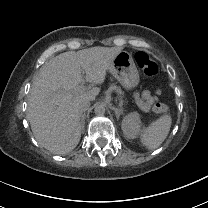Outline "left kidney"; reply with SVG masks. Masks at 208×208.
Returning <instances> with one entry per match:
<instances>
[{
	"label": "left kidney",
	"instance_id": "obj_1",
	"mask_svg": "<svg viewBox=\"0 0 208 208\" xmlns=\"http://www.w3.org/2000/svg\"><path fill=\"white\" fill-rule=\"evenodd\" d=\"M140 122L137 113L127 115L122 122V130L127 138H134L139 132Z\"/></svg>",
	"mask_w": 208,
	"mask_h": 208
}]
</instances>
